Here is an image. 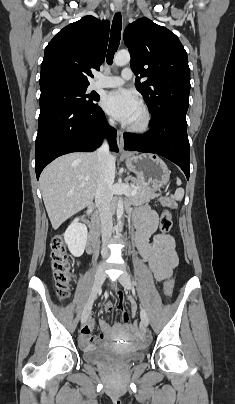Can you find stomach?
Segmentation results:
<instances>
[{
	"instance_id": "obj_1",
	"label": "stomach",
	"mask_w": 235,
	"mask_h": 404,
	"mask_svg": "<svg viewBox=\"0 0 235 404\" xmlns=\"http://www.w3.org/2000/svg\"><path fill=\"white\" fill-rule=\"evenodd\" d=\"M127 168L145 181L153 191L159 190L169 181L170 171L165 162L155 154H129L125 158Z\"/></svg>"
}]
</instances>
